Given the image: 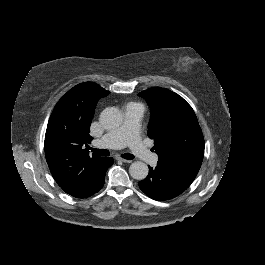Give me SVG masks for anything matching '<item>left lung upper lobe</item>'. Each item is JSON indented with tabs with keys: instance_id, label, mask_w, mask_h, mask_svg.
Instances as JSON below:
<instances>
[{
	"instance_id": "1",
	"label": "left lung upper lobe",
	"mask_w": 265,
	"mask_h": 265,
	"mask_svg": "<svg viewBox=\"0 0 265 265\" xmlns=\"http://www.w3.org/2000/svg\"><path fill=\"white\" fill-rule=\"evenodd\" d=\"M139 96L151 108L148 136L155 141L158 163L198 171L204 156V138L192 107L165 88L152 87Z\"/></svg>"
}]
</instances>
